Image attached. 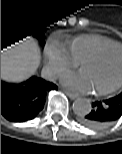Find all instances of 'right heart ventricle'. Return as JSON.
I'll return each mask as SVG.
<instances>
[{
    "instance_id": "e07e8e85",
    "label": "right heart ventricle",
    "mask_w": 122,
    "mask_h": 154,
    "mask_svg": "<svg viewBox=\"0 0 122 154\" xmlns=\"http://www.w3.org/2000/svg\"><path fill=\"white\" fill-rule=\"evenodd\" d=\"M64 44L71 56L79 63L85 56L117 43L100 35H81L68 39Z\"/></svg>"
}]
</instances>
